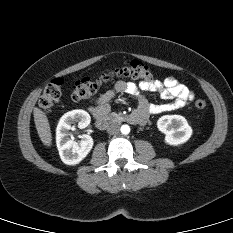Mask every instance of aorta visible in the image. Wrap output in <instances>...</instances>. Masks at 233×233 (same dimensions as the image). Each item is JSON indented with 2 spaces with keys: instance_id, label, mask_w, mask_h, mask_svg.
Instances as JSON below:
<instances>
[{
  "instance_id": "1",
  "label": "aorta",
  "mask_w": 233,
  "mask_h": 233,
  "mask_svg": "<svg viewBox=\"0 0 233 233\" xmlns=\"http://www.w3.org/2000/svg\"><path fill=\"white\" fill-rule=\"evenodd\" d=\"M120 131L122 134H129L130 132V127L128 125H122L120 128Z\"/></svg>"
}]
</instances>
